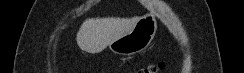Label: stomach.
<instances>
[{"label":"stomach","instance_id":"0dacf381","mask_svg":"<svg viewBox=\"0 0 244 73\" xmlns=\"http://www.w3.org/2000/svg\"><path fill=\"white\" fill-rule=\"evenodd\" d=\"M157 30V21L152 13L142 16L133 29L112 41L109 49L118 55H135L145 50L152 42Z\"/></svg>","mask_w":244,"mask_h":73}]
</instances>
